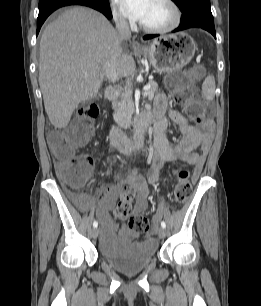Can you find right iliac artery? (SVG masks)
I'll return each instance as SVG.
<instances>
[{"instance_id":"82829eb1","label":"right iliac artery","mask_w":261,"mask_h":306,"mask_svg":"<svg viewBox=\"0 0 261 306\" xmlns=\"http://www.w3.org/2000/svg\"><path fill=\"white\" fill-rule=\"evenodd\" d=\"M97 226H98V222H97V221H94V222H93V227L96 228Z\"/></svg>"}]
</instances>
